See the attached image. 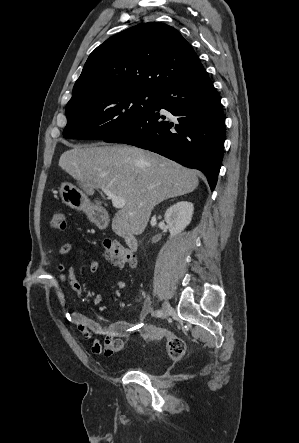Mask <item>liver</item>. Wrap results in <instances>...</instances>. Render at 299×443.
I'll return each instance as SVG.
<instances>
[{
    "instance_id": "6515ba94",
    "label": "liver",
    "mask_w": 299,
    "mask_h": 443,
    "mask_svg": "<svg viewBox=\"0 0 299 443\" xmlns=\"http://www.w3.org/2000/svg\"><path fill=\"white\" fill-rule=\"evenodd\" d=\"M59 166L88 194L109 189L125 200L115 214L125 231L139 235L160 202L194 191L199 180L194 170L136 147L75 146L65 151Z\"/></svg>"
}]
</instances>
